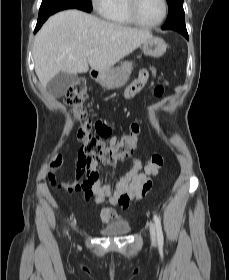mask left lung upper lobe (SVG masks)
Listing matches in <instances>:
<instances>
[{"mask_svg":"<svg viewBox=\"0 0 229 280\" xmlns=\"http://www.w3.org/2000/svg\"><path fill=\"white\" fill-rule=\"evenodd\" d=\"M167 2L169 5L168 17L162 29L185 26L183 0H167Z\"/></svg>","mask_w":229,"mask_h":280,"instance_id":"5c2ea615","label":"left lung upper lobe"}]
</instances>
